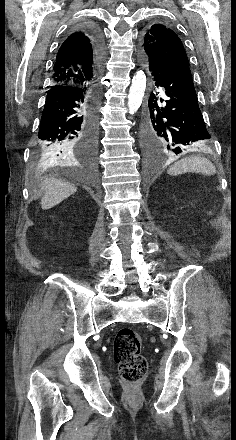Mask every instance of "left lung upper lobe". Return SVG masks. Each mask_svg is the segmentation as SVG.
I'll return each mask as SVG.
<instances>
[{"mask_svg":"<svg viewBox=\"0 0 236 440\" xmlns=\"http://www.w3.org/2000/svg\"><path fill=\"white\" fill-rule=\"evenodd\" d=\"M144 59L152 64H183L189 68V60L177 34L162 24L147 29L142 44Z\"/></svg>","mask_w":236,"mask_h":440,"instance_id":"left-lung-upper-lobe-1","label":"left lung upper lobe"}]
</instances>
